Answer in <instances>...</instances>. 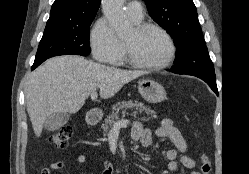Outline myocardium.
<instances>
[{"instance_id":"1","label":"myocardium","mask_w":249,"mask_h":174,"mask_svg":"<svg viewBox=\"0 0 249 174\" xmlns=\"http://www.w3.org/2000/svg\"><path fill=\"white\" fill-rule=\"evenodd\" d=\"M135 30L137 34H143L149 30H157L160 33H162L166 39L168 40L170 46H171V53L170 56L162 63L158 64H149L144 63L139 60H137L130 52L127 45L124 43V53H125V60L127 63H129L131 66L140 68V69H147V70H158L168 67L174 60L177 54V46L176 43L171 36V34L162 26L155 24V23H139Z\"/></svg>"}]
</instances>
